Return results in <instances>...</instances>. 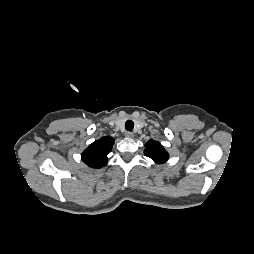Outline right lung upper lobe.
<instances>
[{
    "label": "right lung upper lobe",
    "instance_id": "right-lung-upper-lobe-1",
    "mask_svg": "<svg viewBox=\"0 0 254 254\" xmlns=\"http://www.w3.org/2000/svg\"><path fill=\"white\" fill-rule=\"evenodd\" d=\"M114 139L102 137L93 142L83 153L82 160L89 167L101 168L107 163V155L111 152Z\"/></svg>",
    "mask_w": 254,
    "mask_h": 254
}]
</instances>
